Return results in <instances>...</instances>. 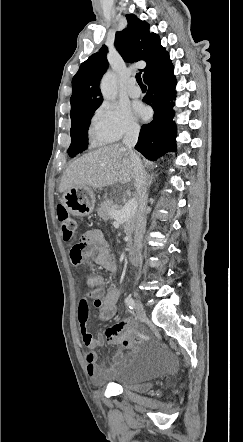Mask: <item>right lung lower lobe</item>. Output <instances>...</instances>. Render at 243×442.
Listing matches in <instances>:
<instances>
[{
  "label": "right lung lower lobe",
  "instance_id": "obj_1",
  "mask_svg": "<svg viewBox=\"0 0 243 442\" xmlns=\"http://www.w3.org/2000/svg\"><path fill=\"white\" fill-rule=\"evenodd\" d=\"M173 65L166 53L161 62L144 76L148 93L143 100L154 110L150 123L141 127L135 149L150 160H157L166 152L176 151L174 116L176 79Z\"/></svg>",
  "mask_w": 243,
  "mask_h": 442
}]
</instances>
